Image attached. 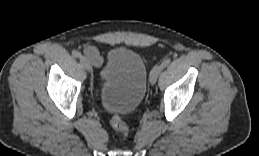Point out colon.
<instances>
[{"mask_svg":"<svg viewBox=\"0 0 259 156\" xmlns=\"http://www.w3.org/2000/svg\"><path fill=\"white\" fill-rule=\"evenodd\" d=\"M112 128L121 135V139H126L129 136V127L118 114L112 116L110 120Z\"/></svg>","mask_w":259,"mask_h":156,"instance_id":"colon-1","label":"colon"}]
</instances>
